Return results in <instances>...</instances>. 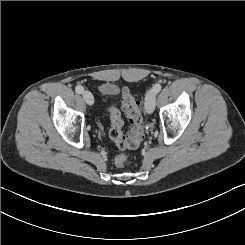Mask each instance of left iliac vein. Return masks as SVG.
<instances>
[{"label": "left iliac vein", "mask_w": 245, "mask_h": 245, "mask_svg": "<svg viewBox=\"0 0 245 245\" xmlns=\"http://www.w3.org/2000/svg\"><path fill=\"white\" fill-rule=\"evenodd\" d=\"M156 92L152 89L146 94L145 109L148 114H151L155 108Z\"/></svg>", "instance_id": "4c4485c4"}]
</instances>
